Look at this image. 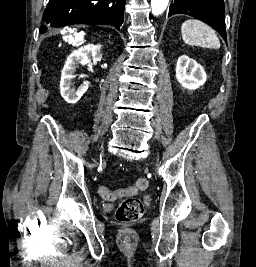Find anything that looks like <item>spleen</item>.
Here are the masks:
<instances>
[{
	"label": "spleen",
	"mask_w": 256,
	"mask_h": 267,
	"mask_svg": "<svg viewBox=\"0 0 256 267\" xmlns=\"http://www.w3.org/2000/svg\"><path fill=\"white\" fill-rule=\"evenodd\" d=\"M183 42L188 46H199V48H210L218 50L220 42L215 30L200 22V20H186L181 26Z\"/></svg>",
	"instance_id": "3e777b00"
}]
</instances>
